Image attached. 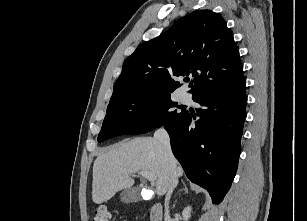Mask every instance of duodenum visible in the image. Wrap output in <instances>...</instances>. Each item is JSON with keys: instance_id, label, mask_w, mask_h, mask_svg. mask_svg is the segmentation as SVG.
<instances>
[{"instance_id": "obj_1", "label": "duodenum", "mask_w": 307, "mask_h": 221, "mask_svg": "<svg viewBox=\"0 0 307 221\" xmlns=\"http://www.w3.org/2000/svg\"><path fill=\"white\" fill-rule=\"evenodd\" d=\"M150 221H163V209L160 203L152 205L150 210Z\"/></svg>"}]
</instances>
